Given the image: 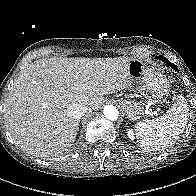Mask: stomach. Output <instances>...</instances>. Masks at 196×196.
Returning <instances> with one entry per match:
<instances>
[{
    "instance_id": "obj_1",
    "label": "stomach",
    "mask_w": 196,
    "mask_h": 196,
    "mask_svg": "<svg viewBox=\"0 0 196 196\" xmlns=\"http://www.w3.org/2000/svg\"><path fill=\"white\" fill-rule=\"evenodd\" d=\"M128 87L135 91H147L148 100L162 103L168 96L169 81L154 67L147 65L141 59L131 58L128 64ZM122 108L128 113L130 120H136L143 113L141 105L135 101L120 100Z\"/></svg>"
}]
</instances>
